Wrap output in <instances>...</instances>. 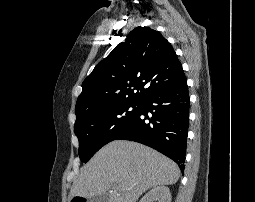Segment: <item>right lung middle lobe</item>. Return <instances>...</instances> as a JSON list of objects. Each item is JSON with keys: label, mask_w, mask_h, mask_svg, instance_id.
I'll list each match as a JSON object with an SVG mask.
<instances>
[{"label": "right lung middle lobe", "mask_w": 255, "mask_h": 202, "mask_svg": "<svg viewBox=\"0 0 255 202\" xmlns=\"http://www.w3.org/2000/svg\"><path fill=\"white\" fill-rule=\"evenodd\" d=\"M141 103H119L97 109L76 120L79 156L86 163L101 147L115 140L133 121Z\"/></svg>", "instance_id": "1"}]
</instances>
